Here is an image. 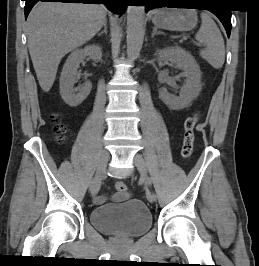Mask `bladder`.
I'll return each mask as SVG.
<instances>
[{
  "mask_svg": "<svg viewBox=\"0 0 259 266\" xmlns=\"http://www.w3.org/2000/svg\"><path fill=\"white\" fill-rule=\"evenodd\" d=\"M90 222L99 232L127 238L144 235L152 227V215L139 199H128L120 205H102L90 212Z\"/></svg>",
  "mask_w": 259,
  "mask_h": 266,
  "instance_id": "bladder-1",
  "label": "bladder"
}]
</instances>
